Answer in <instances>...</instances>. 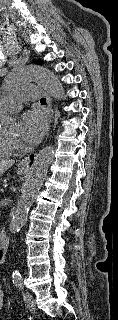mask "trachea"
<instances>
[{"mask_svg":"<svg viewBox=\"0 0 118 320\" xmlns=\"http://www.w3.org/2000/svg\"><path fill=\"white\" fill-rule=\"evenodd\" d=\"M40 102H41V103H46V98H42V99L40 100Z\"/></svg>","mask_w":118,"mask_h":320,"instance_id":"1","label":"trachea"}]
</instances>
